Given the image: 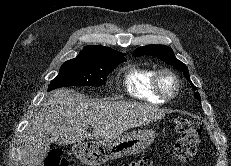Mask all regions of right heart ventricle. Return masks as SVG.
<instances>
[{"label":"right heart ventricle","instance_id":"right-heart-ventricle-1","mask_svg":"<svg viewBox=\"0 0 231 166\" xmlns=\"http://www.w3.org/2000/svg\"><path fill=\"white\" fill-rule=\"evenodd\" d=\"M155 69L151 67L133 66L124 76V85L127 93L134 99L162 104L165 100L158 97L152 89V78Z\"/></svg>","mask_w":231,"mask_h":166}]
</instances>
